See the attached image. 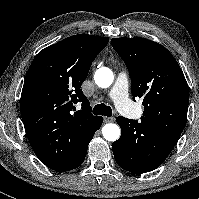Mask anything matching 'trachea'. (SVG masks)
<instances>
[{"label": "trachea", "mask_w": 199, "mask_h": 199, "mask_svg": "<svg viewBox=\"0 0 199 199\" xmlns=\"http://www.w3.org/2000/svg\"><path fill=\"white\" fill-rule=\"evenodd\" d=\"M93 113L96 115H103V116L110 117L112 116V109L110 106H107L106 104L101 103V104H97L93 108Z\"/></svg>", "instance_id": "obj_1"}]
</instances>
